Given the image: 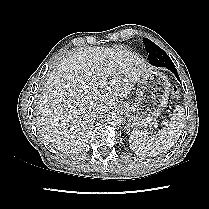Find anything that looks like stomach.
I'll use <instances>...</instances> for the list:
<instances>
[{
	"mask_svg": "<svg viewBox=\"0 0 209 209\" xmlns=\"http://www.w3.org/2000/svg\"><path fill=\"white\" fill-rule=\"evenodd\" d=\"M141 90L135 102L125 105L128 128L141 129L150 125L164 111L168 104L170 83L159 71H149L140 80Z\"/></svg>",
	"mask_w": 209,
	"mask_h": 209,
	"instance_id": "1",
	"label": "stomach"
}]
</instances>
